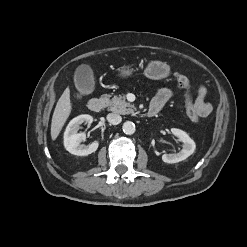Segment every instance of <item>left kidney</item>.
Segmentation results:
<instances>
[{
    "label": "left kidney",
    "mask_w": 247,
    "mask_h": 247,
    "mask_svg": "<svg viewBox=\"0 0 247 247\" xmlns=\"http://www.w3.org/2000/svg\"><path fill=\"white\" fill-rule=\"evenodd\" d=\"M171 133L183 143V148L178 153L163 154L162 160L165 163H177L183 161L193 154L196 148L194 140L191 139L185 131L177 128H171Z\"/></svg>",
    "instance_id": "1"
}]
</instances>
